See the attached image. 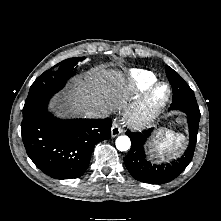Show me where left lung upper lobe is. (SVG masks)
I'll list each match as a JSON object with an SVG mask.
<instances>
[{
    "instance_id": "1",
    "label": "left lung upper lobe",
    "mask_w": 221,
    "mask_h": 221,
    "mask_svg": "<svg viewBox=\"0 0 221 221\" xmlns=\"http://www.w3.org/2000/svg\"><path fill=\"white\" fill-rule=\"evenodd\" d=\"M165 69H166V75H167L171 84L175 81H184L180 77V75L176 71H174L172 68H170L169 66H166Z\"/></svg>"
}]
</instances>
